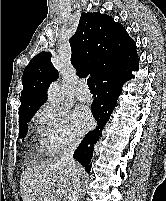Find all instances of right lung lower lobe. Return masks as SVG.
<instances>
[{
	"instance_id": "1",
	"label": "right lung lower lobe",
	"mask_w": 166,
	"mask_h": 201,
	"mask_svg": "<svg viewBox=\"0 0 166 201\" xmlns=\"http://www.w3.org/2000/svg\"><path fill=\"white\" fill-rule=\"evenodd\" d=\"M138 67L137 59L126 66L108 70L96 83L98 96L92 104V113L97 121V127L84 137L73 155L85 167L87 172L91 170L90 162L94 144L100 138L103 126L107 123L114 110L122 85L133 77L130 72L137 71Z\"/></svg>"
}]
</instances>
